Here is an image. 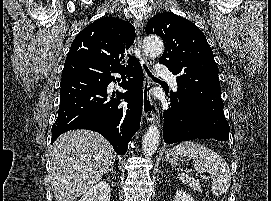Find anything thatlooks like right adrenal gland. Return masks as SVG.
<instances>
[{"mask_svg":"<svg viewBox=\"0 0 271 201\" xmlns=\"http://www.w3.org/2000/svg\"><path fill=\"white\" fill-rule=\"evenodd\" d=\"M114 162L112 163L111 167L108 169V172H113Z\"/></svg>","mask_w":271,"mask_h":201,"instance_id":"right-adrenal-gland-1","label":"right adrenal gland"}]
</instances>
